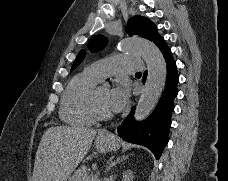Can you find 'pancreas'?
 I'll use <instances>...</instances> for the list:
<instances>
[{"mask_svg":"<svg viewBox=\"0 0 228 181\" xmlns=\"http://www.w3.org/2000/svg\"><path fill=\"white\" fill-rule=\"evenodd\" d=\"M94 177L95 175H93V173H89V171H87V167L82 165L76 173H73L72 177H70V181H96Z\"/></svg>","mask_w":228,"mask_h":181,"instance_id":"obj_1","label":"pancreas"}]
</instances>
